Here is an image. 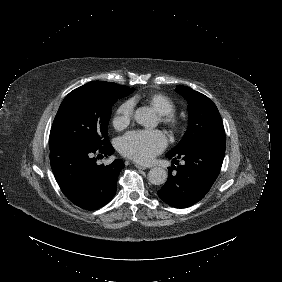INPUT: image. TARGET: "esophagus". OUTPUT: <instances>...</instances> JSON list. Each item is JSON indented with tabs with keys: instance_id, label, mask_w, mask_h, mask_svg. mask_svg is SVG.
<instances>
[{
	"instance_id": "1",
	"label": "esophagus",
	"mask_w": 282,
	"mask_h": 282,
	"mask_svg": "<svg viewBox=\"0 0 282 282\" xmlns=\"http://www.w3.org/2000/svg\"><path fill=\"white\" fill-rule=\"evenodd\" d=\"M135 166H136V168L141 169V170L147 169V167H145V166H143L141 164H138V163H136Z\"/></svg>"
}]
</instances>
